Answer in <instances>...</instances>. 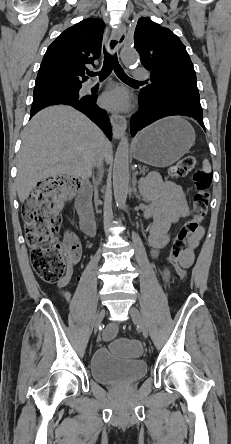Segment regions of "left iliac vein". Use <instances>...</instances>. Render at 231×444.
Instances as JSON below:
<instances>
[{
	"label": "left iliac vein",
	"mask_w": 231,
	"mask_h": 444,
	"mask_svg": "<svg viewBox=\"0 0 231 444\" xmlns=\"http://www.w3.org/2000/svg\"><path fill=\"white\" fill-rule=\"evenodd\" d=\"M129 312H130V316H131L133 322L140 328V330L143 333V336L145 338H147L148 337V327H147L140 311L136 307L132 306L130 308Z\"/></svg>",
	"instance_id": "4c4485c4"
}]
</instances>
